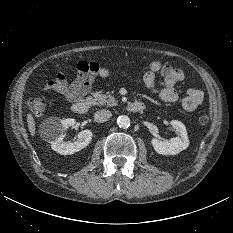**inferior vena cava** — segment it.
<instances>
[{
	"label": "inferior vena cava",
	"instance_id": "602c4592",
	"mask_svg": "<svg viewBox=\"0 0 233 233\" xmlns=\"http://www.w3.org/2000/svg\"><path fill=\"white\" fill-rule=\"evenodd\" d=\"M111 116V111L106 109L99 110L94 114V118L97 122H106L111 118Z\"/></svg>",
	"mask_w": 233,
	"mask_h": 233
}]
</instances>
